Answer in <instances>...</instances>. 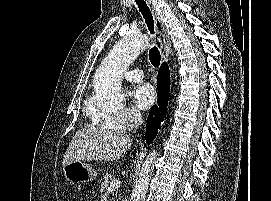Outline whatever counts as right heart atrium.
I'll list each match as a JSON object with an SVG mask.
<instances>
[{
    "instance_id": "obj_1",
    "label": "right heart atrium",
    "mask_w": 271,
    "mask_h": 201,
    "mask_svg": "<svg viewBox=\"0 0 271 201\" xmlns=\"http://www.w3.org/2000/svg\"><path fill=\"white\" fill-rule=\"evenodd\" d=\"M90 117L94 124L99 127L124 130L132 129L141 121V114L133 108H123L114 114L90 108Z\"/></svg>"
}]
</instances>
